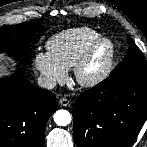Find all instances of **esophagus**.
<instances>
[{
    "instance_id": "esophagus-1",
    "label": "esophagus",
    "mask_w": 147,
    "mask_h": 147,
    "mask_svg": "<svg viewBox=\"0 0 147 147\" xmlns=\"http://www.w3.org/2000/svg\"><path fill=\"white\" fill-rule=\"evenodd\" d=\"M61 106L67 107L70 105V101L67 98H61L59 100Z\"/></svg>"
}]
</instances>
